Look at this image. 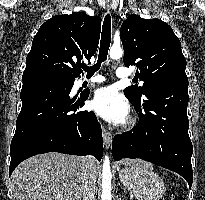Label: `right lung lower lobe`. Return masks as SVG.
Instances as JSON below:
<instances>
[{
  "label": "right lung lower lobe",
  "instance_id": "98d812e1",
  "mask_svg": "<svg viewBox=\"0 0 205 200\" xmlns=\"http://www.w3.org/2000/svg\"><path fill=\"white\" fill-rule=\"evenodd\" d=\"M22 80V108L10 145L9 175L26 158L52 151L101 160L102 130L95 114L76 112L89 93L71 99L74 81L53 74H30Z\"/></svg>",
  "mask_w": 205,
  "mask_h": 200
}]
</instances>
